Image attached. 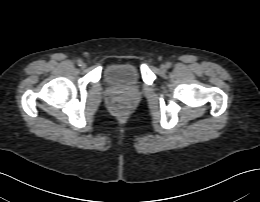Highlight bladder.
<instances>
[{"label": "bladder", "instance_id": "bladder-1", "mask_svg": "<svg viewBox=\"0 0 260 202\" xmlns=\"http://www.w3.org/2000/svg\"><path fill=\"white\" fill-rule=\"evenodd\" d=\"M103 77L108 85L131 89L139 86L142 75L136 65L128 62H120L109 65L105 69Z\"/></svg>", "mask_w": 260, "mask_h": 202}]
</instances>
